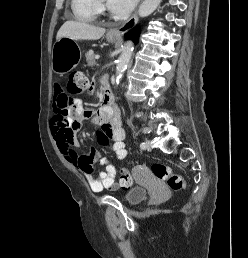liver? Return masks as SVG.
<instances>
[{
    "instance_id": "6515ba94",
    "label": "liver",
    "mask_w": 248,
    "mask_h": 258,
    "mask_svg": "<svg viewBox=\"0 0 248 258\" xmlns=\"http://www.w3.org/2000/svg\"><path fill=\"white\" fill-rule=\"evenodd\" d=\"M105 33L104 28L95 27L77 21H66L59 29L56 40L62 37L74 40H98Z\"/></svg>"
}]
</instances>
